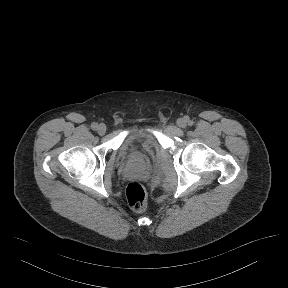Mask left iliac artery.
Here are the masks:
<instances>
[{"instance_id": "left-iliac-artery-1", "label": "left iliac artery", "mask_w": 288, "mask_h": 288, "mask_svg": "<svg viewBox=\"0 0 288 288\" xmlns=\"http://www.w3.org/2000/svg\"><path fill=\"white\" fill-rule=\"evenodd\" d=\"M188 125H193V121L188 119Z\"/></svg>"}]
</instances>
